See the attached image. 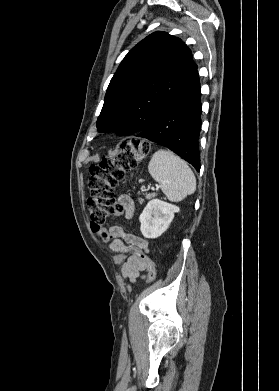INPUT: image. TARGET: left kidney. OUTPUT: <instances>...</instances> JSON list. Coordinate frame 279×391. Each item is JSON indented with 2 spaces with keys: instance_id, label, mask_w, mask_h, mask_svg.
I'll list each match as a JSON object with an SVG mask.
<instances>
[{
  "instance_id": "obj_1",
  "label": "left kidney",
  "mask_w": 279,
  "mask_h": 391,
  "mask_svg": "<svg viewBox=\"0 0 279 391\" xmlns=\"http://www.w3.org/2000/svg\"><path fill=\"white\" fill-rule=\"evenodd\" d=\"M179 210V207L159 199L149 201L139 217L142 235L151 239L161 236Z\"/></svg>"
}]
</instances>
